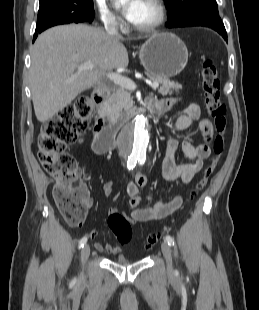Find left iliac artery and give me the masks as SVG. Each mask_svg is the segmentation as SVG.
<instances>
[{"label":"left iliac artery","instance_id":"left-iliac-artery-1","mask_svg":"<svg viewBox=\"0 0 259 310\" xmlns=\"http://www.w3.org/2000/svg\"><path fill=\"white\" fill-rule=\"evenodd\" d=\"M165 239L170 246H174V239L170 235H167Z\"/></svg>","mask_w":259,"mask_h":310}]
</instances>
